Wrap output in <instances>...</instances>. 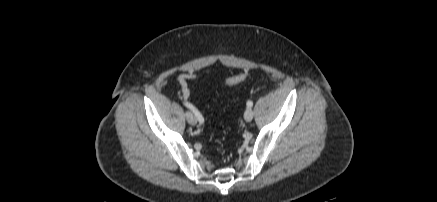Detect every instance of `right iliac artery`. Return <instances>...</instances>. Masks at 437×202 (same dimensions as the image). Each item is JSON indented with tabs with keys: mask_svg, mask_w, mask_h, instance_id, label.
Instances as JSON below:
<instances>
[{
	"mask_svg": "<svg viewBox=\"0 0 437 202\" xmlns=\"http://www.w3.org/2000/svg\"><path fill=\"white\" fill-rule=\"evenodd\" d=\"M183 104L194 113V115L196 116L197 120L200 123L204 122L203 116L201 115V113L195 107H193L190 103L185 102V101L183 102Z\"/></svg>",
	"mask_w": 437,
	"mask_h": 202,
	"instance_id": "obj_1",
	"label": "right iliac artery"
}]
</instances>
